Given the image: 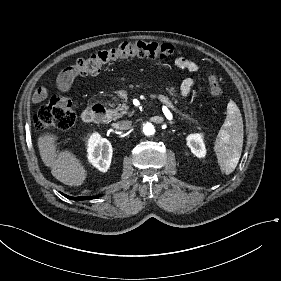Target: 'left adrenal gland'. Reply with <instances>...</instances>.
Wrapping results in <instances>:
<instances>
[{
  "label": "left adrenal gland",
  "mask_w": 281,
  "mask_h": 281,
  "mask_svg": "<svg viewBox=\"0 0 281 281\" xmlns=\"http://www.w3.org/2000/svg\"><path fill=\"white\" fill-rule=\"evenodd\" d=\"M175 122L172 121V122H168V125H173Z\"/></svg>",
  "instance_id": "left-adrenal-gland-1"
}]
</instances>
